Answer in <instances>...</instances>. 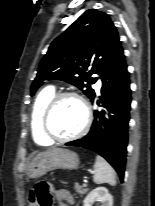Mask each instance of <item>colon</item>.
<instances>
[{"label": "colon", "mask_w": 155, "mask_h": 206, "mask_svg": "<svg viewBox=\"0 0 155 206\" xmlns=\"http://www.w3.org/2000/svg\"><path fill=\"white\" fill-rule=\"evenodd\" d=\"M29 201L39 206H50L52 201L50 184L46 181L38 182L29 191Z\"/></svg>", "instance_id": "5ec220e1"}]
</instances>
